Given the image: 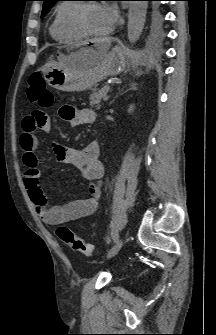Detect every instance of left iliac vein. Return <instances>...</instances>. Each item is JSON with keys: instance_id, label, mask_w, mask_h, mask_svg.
Masks as SVG:
<instances>
[{"instance_id": "4c4485c4", "label": "left iliac vein", "mask_w": 216, "mask_h": 335, "mask_svg": "<svg viewBox=\"0 0 216 335\" xmlns=\"http://www.w3.org/2000/svg\"><path fill=\"white\" fill-rule=\"evenodd\" d=\"M124 243L123 239H120L116 242V244L109 250L108 254H107V258H112L114 257L122 248Z\"/></svg>"}]
</instances>
